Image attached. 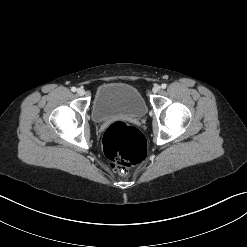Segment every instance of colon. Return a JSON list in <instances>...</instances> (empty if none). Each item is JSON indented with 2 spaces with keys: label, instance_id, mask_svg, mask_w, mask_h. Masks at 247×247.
<instances>
[{
  "label": "colon",
  "instance_id": "colon-1",
  "mask_svg": "<svg viewBox=\"0 0 247 247\" xmlns=\"http://www.w3.org/2000/svg\"><path fill=\"white\" fill-rule=\"evenodd\" d=\"M103 146L110 166L118 173L127 172L145 158V139L135 127L115 122L105 131Z\"/></svg>",
  "mask_w": 247,
  "mask_h": 247
}]
</instances>
